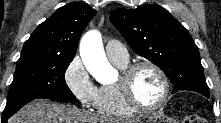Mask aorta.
Masks as SVG:
<instances>
[{"mask_svg": "<svg viewBox=\"0 0 221 123\" xmlns=\"http://www.w3.org/2000/svg\"><path fill=\"white\" fill-rule=\"evenodd\" d=\"M80 56L86 69L99 82H107L113 73L102 44L101 34L97 30L88 31L80 42Z\"/></svg>", "mask_w": 221, "mask_h": 123, "instance_id": "aorta-1", "label": "aorta"}]
</instances>
